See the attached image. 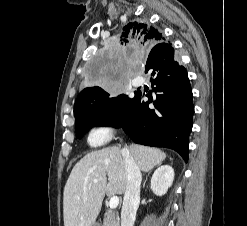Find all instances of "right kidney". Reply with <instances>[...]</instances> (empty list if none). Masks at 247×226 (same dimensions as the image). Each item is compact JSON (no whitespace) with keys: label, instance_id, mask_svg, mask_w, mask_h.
Returning <instances> with one entry per match:
<instances>
[{"label":"right kidney","instance_id":"1","mask_svg":"<svg viewBox=\"0 0 247 226\" xmlns=\"http://www.w3.org/2000/svg\"><path fill=\"white\" fill-rule=\"evenodd\" d=\"M174 180V169L169 165H162L155 170L151 178V190L157 196L166 194Z\"/></svg>","mask_w":247,"mask_h":226}]
</instances>
